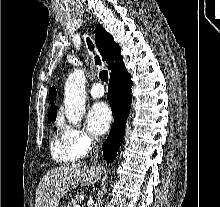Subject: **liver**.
<instances>
[{
	"label": "liver",
	"mask_w": 220,
	"mask_h": 207,
	"mask_svg": "<svg viewBox=\"0 0 220 207\" xmlns=\"http://www.w3.org/2000/svg\"><path fill=\"white\" fill-rule=\"evenodd\" d=\"M103 170L100 166L76 163L47 171L38 185L35 207H58L61 198L70 189L79 184L93 185L101 178Z\"/></svg>",
	"instance_id": "liver-1"
}]
</instances>
